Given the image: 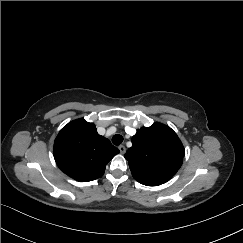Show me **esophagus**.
<instances>
[{
    "label": "esophagus",
    "instance_id": "obj_1",
    "mask_svg": "<svg viewBox=\"0 0 243 243\" xmlns=\"http://www.w3.org/2000/svg\"><path fill=\"white\" fill-rule=\"evenodd\" d=\"M118 148L121 154H124L126 152V148L124 145H120Z\"/></svg>",
    "mask_w": 243,
    "mask_h": 243
}]
</instances>
